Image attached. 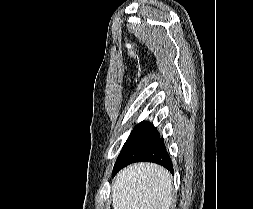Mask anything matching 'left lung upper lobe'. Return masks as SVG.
Listing matches in <instances>:
<instances>
[{
	"instance_id": "5c2ea615",
	"label": "left lung upper lobe",
	"mask_w": 253,
	"mask_h": 209,
	"mask_svg": "<svg viewBox=\"0 0 253 209\" xmlns=\"http://www.w3.org/2000/svg\"><path fill=\"white\" fill-rule=\"evenodd\" d=\"M158 138V131L149 122L137 124L125 142L117 160L139 154Z\"/></svg>"
}]
</instances>
